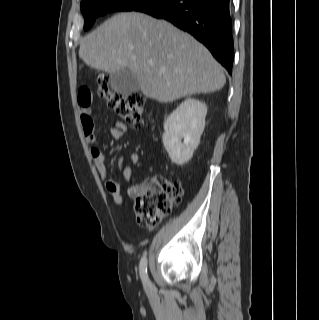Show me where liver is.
<instances>
[{"label":"liver","mask_w":319,"mask_h":320,"mask_svg":"<svg viewBox=\"0 0 319 320\" xmlns=\"http://www.w3.org/2000/svg\"><path fill=\"white\" fill-rule=\"evenodd\" d=\"M79 57L97 71L130 70L143 95L162 103L215 92L226 82L222 66L194 37L142 13L105 21L82 40Z\"/></svg>","instance_id":"liver-1"}]
</instances>
